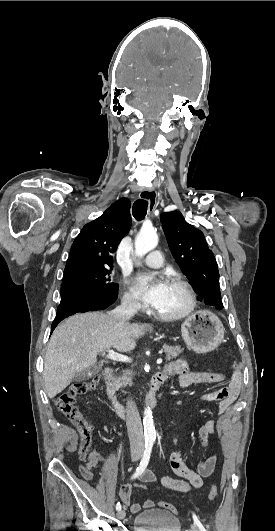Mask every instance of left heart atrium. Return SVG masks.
<instances>
[{
    "instance_id": "obj_1",
    "label": "left heart atrium",
    "mask_w": 275,
    "mask_h": 531,
    "mask_svg": "<svg viewBox=\"0 0 275 531\" xmlns=\"http://www.w3.org/2000/svg\"><path fill=\"white\" fill-rule=\"evenodd\" d=\"M167 280L157 274H139L134 283L135 290L144 301L155 307L165 290Z\"/></svg>"
}]
</instances>
